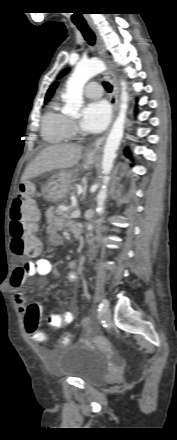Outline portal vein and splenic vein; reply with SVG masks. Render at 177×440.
I'll return each instance as SVG.
<instances>
[{
  "label": "portal vein and splenic vein",
  "instance_id": "obj_1",
  "mask_svg": "<svg viewBox=\"0 0 177 440\" xmlns=\"http://www.w3.org/2000/svg\"><path fill=\"white\" fill-rule=\"evenodd\" d=\"M71 217H73V218H78V217H80V210H79V209L74 210V211L71 213Z\"/></svg>",
  "mask_w": 177,
  "mask_h": 440
}]
</instances>
